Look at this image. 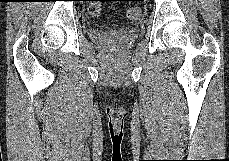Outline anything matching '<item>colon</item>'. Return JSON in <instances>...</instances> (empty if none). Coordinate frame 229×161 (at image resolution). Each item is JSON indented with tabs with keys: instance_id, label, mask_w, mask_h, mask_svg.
<instances>
[{
	"instance_id": "1",
	"label": "colon",
	"mask_w": 229,
	"mask_h": 161,
	"mask_svg": "<svg viewBox=\"0 0 229 161\" xmlns=\"http://www.w3.org/2000/svg\"><path fill=\"white\" fill-rule=\"evenodd\" d=\"M101 0H90L88 6V13L91 16H98L101 13ZM141 11L137 7H131L127 10L126 16L129 20H138L140 18Z\"/></svg>"
}]
</instances>
